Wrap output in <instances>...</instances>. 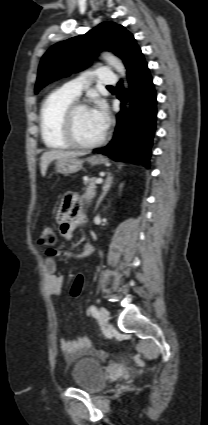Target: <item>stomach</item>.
I'll use <instances>...</instances> for the list:
<instances>
[{
    "instance_id": "1",
    "label": "stomach",
    "mask_w": 208,
    "mask_h": 425,
    "mask_svg": "<svg viewBox=\"0 0 208 425\" xmlns=\"http://www.w3.org/2000/svg\"><path fill=\"white\" fill-rule=\"evenodd\" d=\"M84 161L89 162L91 165H100L106 162V159L101 156H91L86 160H81L77 158H64L58 159L56 162L57 172L61 174H73L80 171L83 168Z\"/></svg>"
}]
</instances>
